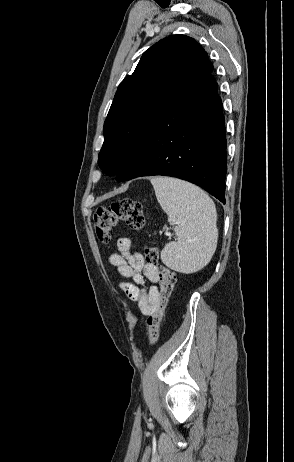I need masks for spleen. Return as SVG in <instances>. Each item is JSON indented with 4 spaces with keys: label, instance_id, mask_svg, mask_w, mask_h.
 I'll return each instance as SVG.
<instances>
[{
    "label": "spleen",
    "instance_id": "spleen-1",
    "mask_svg": "<svg viewBox=\"0 0 294 462\" xmlns=\"http://www.w3.org/2000/svg\"><path fill=\"white\" fill-rule=\"evenodd\" d=\"M151 183L157 200L176 224L178 241L161 252L169 268L190 274L208 264L217 246V212L213 200L199 187L172 177H154Z\"/></svg>",
    "mask_w": 294,
    "mask_h": 462
}]
</instances>
